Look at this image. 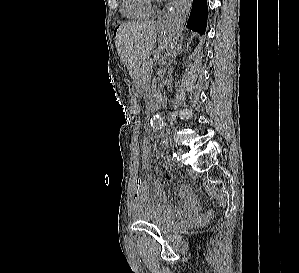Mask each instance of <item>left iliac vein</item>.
Masks as SVG:
<instances>
[{
	"label": "left iliac vein",
	"mask_w": 299,
	"mask_h": 273,
	"mask_svg": "<svg viewBox=\"0 0 299 273\" xmlns=\"http://www.w3.org/2000/svg\"><path fill=\"white\" fill-rule=\"evenodd\" d=\"M182 153H183V151H182L181 149H179V150L177 151V154H178V157H179V158H181ZM179 164H180L181 166H183V162H182L181 160L179 161Z\"/></svg>",
	"instance_id": "obj_1"
}]
</instances>
